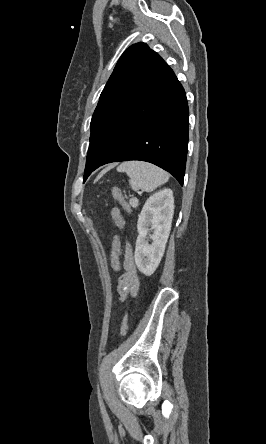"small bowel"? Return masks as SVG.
<instances>
[{
  "label": "small bowel",
  "instance_id": "obj_1",
  "mask_svg": "<svg viewBox=\"0 0 266 444\" xmlns=\"http://www.w3.org/2000/svg\"><path fill=\"white\" fill-rule=\"evenodd\" d=\"M123 268L124 273L119 278L117 291L123 298L128 295L135 296L139 288V279L129 247H125L123 251Z\"/></svg>",
  "mask_w": 266,
  "mask_h": 444
}]
</instances>
